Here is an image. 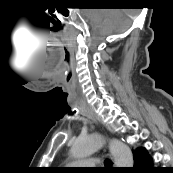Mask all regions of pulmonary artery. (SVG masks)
Returning a JSON list of instances; mask_svg holds the SVG:
<instances>
[{
	"mask_svg": "<svg viewBox=\"0 0 173 173\" xmlns=\"http://www.w3.org/2000/svg\"><path fill=\"white\" fill-rule=\"evenodd\" d=\"M75 164L82 165L84 167H90V166L97 165L98 162L93 159H85V160L78 161Z\"/></svg>",
	"mask_w": 173,
	"mask_h": 173,
	"instance_id": "pulmonary-artery-1",
	"label": "pulmonary artery"
}]
</instances>
